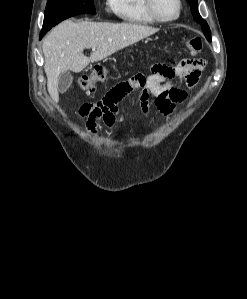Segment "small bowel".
Returning a JSON list of instances; mask_svg holds the SVG:
<instances>
[{"instance_id":"small-bowel-1","label":"small bowel","mask_w":247,"mask_h":299,"mask_svg":"<svg viewBox=\"0 0 247 299\" xmlns=\"http://www.w3.org/2000/svg\"><path fill=\"white\" fill-rule=\"evenodd\" d=\"M204 62L200 59H183L170 64H157L151 68L150 74H136L116 84L102 100L83 104L79 118L85 123V130L99 135V122L102 120L113 129L118 120V103L127 95L138 91L140 107L145 118H151V97L154 105L166 116L173 114L176 106L185 101L187 92L181 89L177 81L184 80L189 88H193L200 77Z\"/></svg>"}]
</instances>
